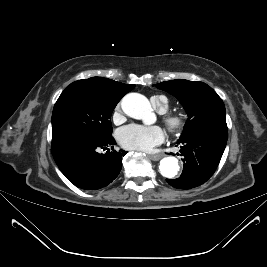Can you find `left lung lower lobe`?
I'll return each instance as SVG.
<instances>
[{
  "label": "left lung lower lobe",
  "mask_w": 267,
  "mask_h": 267,
  "mask_svg": "<svg viewBox=\"0 0 267 267\" xmlns=\"http://www.w3.org/2000/svg\"><path fill=\"white\" fill-rule=\"evenodd\" d=\"M227 136V133L210 131L178 141L180 153L184 156L183 172L179 178L166 181L179 189H190L205 183L220 162Z\"/></svg>",
  "instance_id": "0a47b994"
}]
</instances>
